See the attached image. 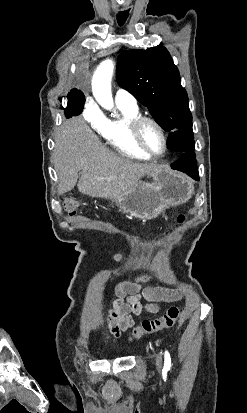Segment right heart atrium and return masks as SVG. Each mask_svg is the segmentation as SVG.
I'll return each mask as SVG.
<instances>
[{
    "instance_id": "1",
    "label": "right heart atrium",
    "mask_w": 247,
    "mask_h": 413,
    "mask_svg": "<svg viewBox=\"0 0 247 413\" xmlns=\"http://www.w3.org/2000/svg\"><path fill=\"white\" fill-rule=\"evenodd\" d=\"M82 111V118L88 119V123L92 128H95L97 133H104L106 131V111L101 110L100 103L95 100H84Z\"/></svg>"
}]
</instances>
